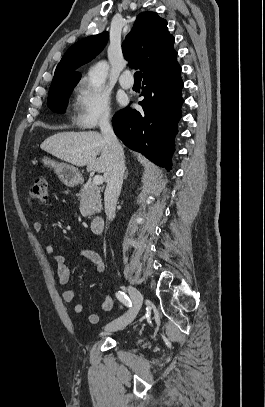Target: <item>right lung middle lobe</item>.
I'll list each match as a JSON object with an SVG mask.
<instances>
[{"label": "right lung middle lobe", "instance_id": "1", "mask_svg": "<svg viewBox=\"0 0 265 407\" xmlns=\"http://www.w3.org/2000/svg\"><path fill=\"white\" fill-rule=\"evenodd\" d=\"M77 85V82H61L50 86L48 94V106L56 113H64L69 96Z\"/></svg>", "mask_w": 265, "mask_h": 407}]
</instances>
